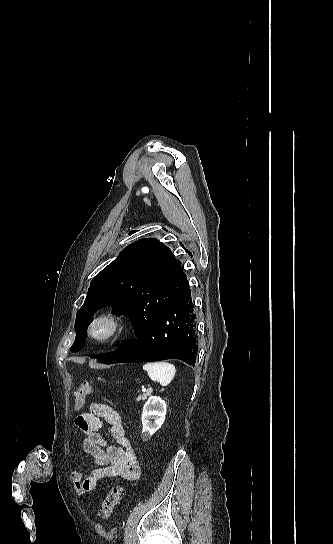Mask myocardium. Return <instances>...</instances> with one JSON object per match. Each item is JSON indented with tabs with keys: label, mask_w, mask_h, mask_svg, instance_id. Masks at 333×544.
I'll use <instances>...</instances> for the list:
<instances>
[{
	"label": "myocardium",
	"mask_w": 333,
	"mask_h": 544,
	"mask_svg": "<svg viewBox=\"0 0 333 544\" xmlns=\"http://www.w3.org/2000/svg\"><path fill=\"white\" fill-rule=\"evenodd\" d=\"M121 328V319L111 311L97 314L89 323L88 337L98 343H104L113 339Z\"/></svg>",
	"instance_id": "myocardium-1"
}]
</instances>
